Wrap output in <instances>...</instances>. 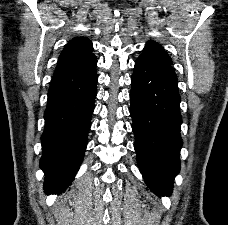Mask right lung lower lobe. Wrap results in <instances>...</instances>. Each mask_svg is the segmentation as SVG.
<instances>
[{
	"label": "right lung lower lobe",
	"mask_w": 228,
	"mask_h": 225,
	"mask_svg": "<svg viewBox=\"0 0 228 225\" xmlns=\"http://www.w3.org/2000/svg\"><path fill=\"white\" fill-rule=\"evenodd\" d=\"M94 54L58 65L48 90L41 137L45 193H61L72 182L83 160L97 93Z\"/></svg>",
	"instance_id": "obj_1"
}]
</instances>
